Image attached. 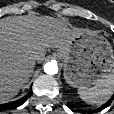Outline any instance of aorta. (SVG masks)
<instances>
[{
	"label": "aorta",
	"instance_id": "762f6f07",
	"mask_svg": "<svg viewBox=\"0 0 114 114\" xmlns=\"http://www.w3.org/2000/svg\"><path fill=\"white\" fill-rule=\"evenodd\" d=\"M44 71L47 74L54 75L58 72V66L56 62H48L44 66Z\"/></svg>",
	"mask_w": 114,
	"mask_h": 114
}]
</instances>
